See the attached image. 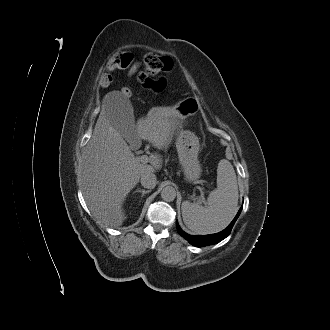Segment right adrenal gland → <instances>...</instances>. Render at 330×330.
Returning a JSON list of instances; mask_svg holds the SVG:
<instances>
[{
	"mask_svg": "<svg viewBox=\"0 0 330 330\" xmlns=\"http://www.w3.org/2000/svg\"><path fill=\"white\" fill-rule=\"evenodd\" d=\"M151 190H145V189H140V188H138L137 190H136V192H141L142 193V197L145 195V194H147V193H149Z\"/></svg>",
	"mask_w": 330,
	"mask_h": 330,
	"instance_id": "1",
	"label": "right adrenal gland"
}]
</instances>
